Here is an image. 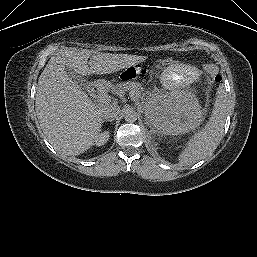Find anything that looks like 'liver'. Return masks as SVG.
Here are the masks:
<instances>
[{
	"label": "liver",
	"instance_id": "liver-1",
	"mask_svg": "<svg viewBox=\"0 0 257 257\" xmlns=\"http://www.w3.org/2000/svg\"><path fill=\"white\" fill-rule=\"evenodd\" d=\"M141 60L137 55L77 48H65L51 57L38 80L35 106L43 133L56 151L66 156L84 153L98 139L103 121V104H94L66 68L82 76L110 74Z\"/></svg>",
	"mask_w": 257,
	"mask_h": 257
}]
</instances>
